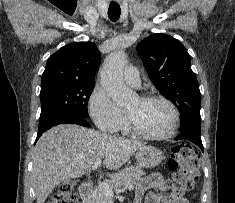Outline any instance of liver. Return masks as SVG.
I'll return each instance as SVG.
<instances>
[{
	"label": "liver",
	"instance_id": "obj_1",
	"mask_svg": "<svg viewBox=\"0 0 235 203\" xmlns=\"http://www.w3.org/2000/svg\"><path fill=\"white\" fill-rule=\"evenodd\" d=\"M146 143L116 137L74 124L45 132L34 148L32 181L37 203H44L62 182L79 178L103 158L107 169L117 170Z\"/></svg>",
	"mask_w": 235,
	"mask_h": 203
}]
</instances>
